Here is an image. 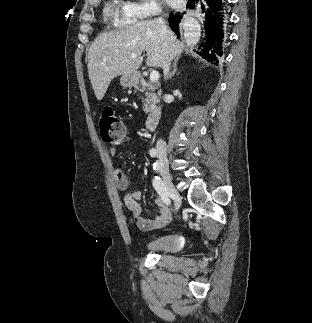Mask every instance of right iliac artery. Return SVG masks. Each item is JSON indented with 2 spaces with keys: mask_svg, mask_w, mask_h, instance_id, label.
I'll list each match as a JSON object with an SVG mask.
<instances>
[{
  "mask_svg": "<svg viewBox=\"0 0 312 323\" xmlns=\"http://www.w3.org/2000/svg\"><path fill=\"white\" fill-rule=\"evenodd\" d=\"M151 156L153 157L156 156V152L155 151L151 152ZM154 166L156 169H159L160 167L159 162L154 163ZM153 187L161 197L162 201L167 205H169L170 204L169 195L160 177L155 176L153 178Z\"/></svg>",
  "mask_w": 312,
  "mask_h": 323,
  "instance_id": "obj_1",
  "label": "right iliac artery"
}]
</instances>
